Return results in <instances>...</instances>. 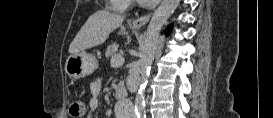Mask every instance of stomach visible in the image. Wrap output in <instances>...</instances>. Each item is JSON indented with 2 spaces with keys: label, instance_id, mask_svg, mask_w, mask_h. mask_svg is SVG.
Listing matches in <instances>:
<instances>
[{
  "label": "stomach",
  "instance_id": "1",
  "mask_svg": "<svg viewBox=\"0 0 273 118\" xmlns=\"http://www.w3.org/2000/svg\"><path fill=\"white\" fill-rule=\"evenodd\" d=\"M97 66L95 57L83 50L67 58L65 71L70 78L76 80L92 74Z\"/></svg>",
  "mask_w": 273,
  "mask_h": 118
}]
</instances>
